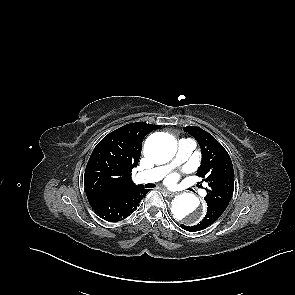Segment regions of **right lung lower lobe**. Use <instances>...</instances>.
<instances>
[{
    "mask_svg": "<svg viewBox=\"0 0 295 295\" xmlns=\"http://www.w3.org/2000/svg\"><path fill=\"white\" fill-rule=\"evenodd\" d=\"M147 192L143 187H137L117 194H87V199L101 218L117 222L131 215Z\"/></svg>",
    "mask_w": 295,
    "mask_h": 295,
    "instance_id": "1",
    "label": "right lung lower lobe"
}]
</instances>
